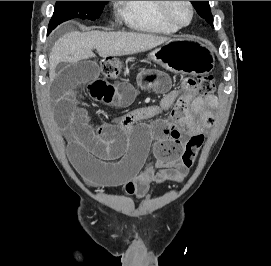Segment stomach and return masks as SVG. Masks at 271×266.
Masks as SVG:
<instances>
[{
	"label": "stomach",
	"mask_w": 271,
	"mask_h": 266,
	"mask_svg": "<svg viewBox=\"0 0 271 266\" xmlns=\"http://www.w3.org/2000/svg\"><path fill=\"white\" fill-rule=\"evenodd\" d=\"M148 58L175 74L209 73L215 60L210 48L194 38H177L165 42L148 54Z\"/></svg>",
	"instance_id": "0dacf381"
}]
</instances>
